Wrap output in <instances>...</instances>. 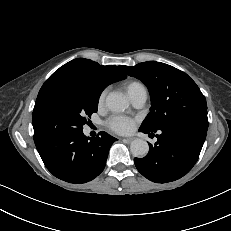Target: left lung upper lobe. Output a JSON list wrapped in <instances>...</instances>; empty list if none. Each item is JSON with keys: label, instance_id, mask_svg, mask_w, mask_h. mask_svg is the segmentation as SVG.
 <instances>
[{"label": "left lung upper lobe", "instance_id": "5c2ea615", "mask_svg": "<svg viewBox=\"0 0 231 231\" xmlns=\"http://www.w3.org/2000/svg\"><path fill=\"white\" fill-rule=\"evenodd\" d=\"M121 69L141 80L150 92L152 106L141 127L155 131L184 118H207L205 96L183 71L156 61Z\"/></svg>", "mask_w": 231, "mask_h": 231}]
</instances>
